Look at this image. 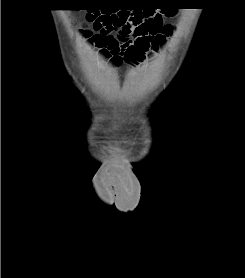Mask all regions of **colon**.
I'll use <instances>...</instances> for the list:
<instances>
[{
    "label": "colon",
    "mask_w": 245,
    "mask_h": 278,
    "mask_svg": "<svg viewBox=\"0 0 245 278\" xmlns=\"http://www.w3.org/2000/svg\"><path fill=\"white\" fill-rule=\"evenodd\" d=\"M87 31L99 39L116 32L123 43L136 37L143 45L149 42L158 45L161 37L169 35L170 28L152 10L138 8L118 14H99L93 19L92 29Z\"/></svg>",
    "instance_id": "colon-1"
}]
</instances>
